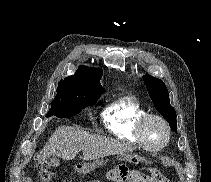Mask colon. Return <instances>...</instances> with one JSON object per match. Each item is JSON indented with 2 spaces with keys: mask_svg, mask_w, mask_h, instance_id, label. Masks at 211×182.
I'll use <instances>...</instances> for the list:
<instances>
[{
  "mask_svg": "<svg viewBox=\"0 0 211 182\" xmlns=\"http://www.w3.org/2000/svg\"><path fill=\"white\" fill-rule=\"evenodd\" d=\"M37 168L43 182H52L55 178L51 170V165L45 158V152L40 151L37 154ZM114 173L112 179L120 182H170L169 179L156 169H149L150 175H145L139 170L130 169L127 167H116L112 170ZM78 174L84 173L82 165L76 166ZM88 182H101V180L93 179Z\"/></svg>",
  "mask_w": 211,
  "mask_h": 182,
  "instance_id": "obj_1",
  "label": "colon"
}]
</instances>
